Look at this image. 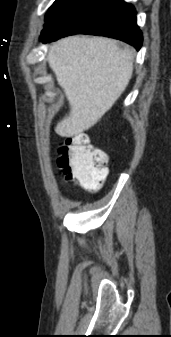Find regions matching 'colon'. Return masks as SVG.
Returning <instances> with one entry per match:
<instances>
[{"label":"colon","instance_id":"colon-1","mask_svg":"<svg viewBox=\"0 0 171 337\" xmlns=\"http://www.w3.org/2000/svg\"><path fill=\"white\" fill-rule=\"evenodd\" d=\"M57 154V166L67 181H76L91 192L101 189L108 175L107 155L94 147L86 134L67 136Z\"/></svg>","mask_w":171,"mask_h":337}]
</instances>
